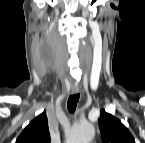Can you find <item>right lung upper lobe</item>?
I'll return each mask as SVG.
<instances>
[{"mask_svg":"<svg viewBox=\"0 0 145 143\" xmlns=\"http://www.w3.org/2000/svg\"><path fill=\"white\" fill-rule=\"evenodd\" d=\"M16 143H50L45 111L29 123L17 138Z\"/></svg>","mask_w":145,"mask_h":143,"instance_id":"cb5924a9","label":"right lung upper lobe"}]
</instances>
